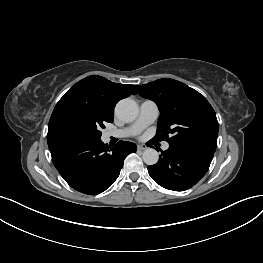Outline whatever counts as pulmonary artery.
Instances as JSON below:
<instances>
[{"instance_id": "1", "label": "pulmonary artery", "mask_w": 263, "mask_h": 263, "mask_svg": "<svg viewBox=\"0 0 263 263\" xmlns=\"http://www.w3.org/2000/svg\"><path fill=\"white\" fill-rule=\"evenodd\" d=\"M159 116V108L157 104L151 100H145L140 105L139 115L134 123L130 126L111 131L107 135L109 137L125 138L133 136L141 132L144 128L152 124ZM163 150L169 148V144L166 142L162 146Z\"/></svg>"}]
</instances>
